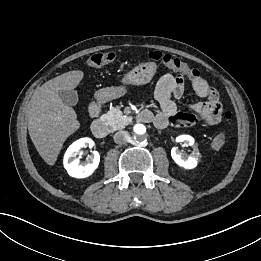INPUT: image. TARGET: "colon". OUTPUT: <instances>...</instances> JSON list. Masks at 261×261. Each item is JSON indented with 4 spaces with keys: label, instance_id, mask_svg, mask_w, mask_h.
Returning a JSON list of instances; mask_svg holds the SVG:
<instances>
[{
    "label": "colon",
    "instance_id": "1",
    "mask_svg": "<svg viewBox=\"0 0 261 261\" xmlns=\"http://www.w3.org/2000/svg\"><path fill=\"white\" fill-rule=\"evenodd\" d=\"M149 58L154 61H159L163 63L165 66L173 69L174 71L190 78H196L199 76V71L195 68L189 66L183 60L173 57L169 54H163L158 51H153L149 53ZM116 59V55L113 52H97L90 55L87 60L86 64L89 67H101L103 65L112 63ZM225 118L229 120L231 118V113L226 112ZM226 143V134L221 132L217 134L212 140V147L216 150L222 149Z\"/></svg>",
    "mask_w": 261,
    "mask_h": 261
}]
</instances>
